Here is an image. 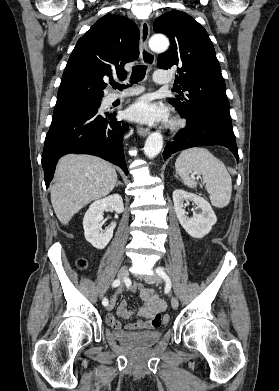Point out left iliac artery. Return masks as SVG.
I'll use <instances>...</instances> for the list:
<instances>
[{"mask_svg":"<svg viewBox=\"0 0 279 391\" xmlns=\"http://www.w3.org/2000/svg\"><path fill=\"white\" fill-rule=\"evenodd\" d=\"M157 274L160 276V277H162L164 280H169V277H168V275L165 273V271H164V268H162V267H159L158 269H157Z\"/></svg>","mask_w":279,"mask_h":391,"instance_id":"1","label":"left iliac artery"}]
</instances>
